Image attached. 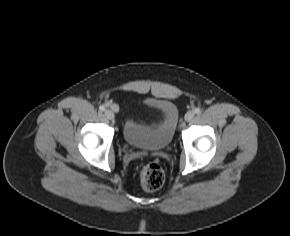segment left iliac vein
Returning a JSON list of instances; mask_svg holds the SVG:
<instances>
[{"mask_svg": "<svg viewBox=\"0 0 290 236\" xmlns=\"http://www.w3.org/2000/svg\"><path fill=\"white\" fill-rule=\"evenodd\" d=\"M194 117V112L193 111H188L186 114H185V120L186 121H191Z\"/></svg>", "mask_w": 290, "mask_h": 236, "instance_id": "1", "label": "left iliac vein"}]
</instances>
